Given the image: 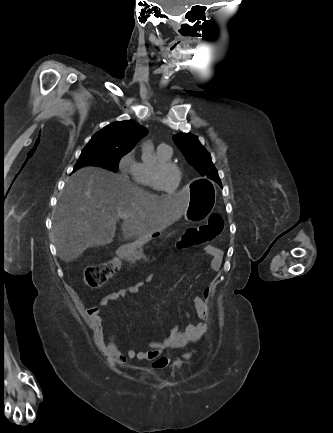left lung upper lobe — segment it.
<instances>
[{
	"label": "left lung upper lobe",
	"mask_w": 333,
	"mask_h": 433,
	"mask_svg": "<svg viewBox=\"0 0 333 433\" xmlns=\"http://www.w3.org/2000/svg\"><path fill=\"white\" fill-rule=\"evenodd\" d=\"M173 140L187 161L202 175L220 184L218 172L216 171L210 154L202 146L197 137L187 133L173 136Z\"/></svg>",
	"instance_id": "obj_1"
}]
</instances>
